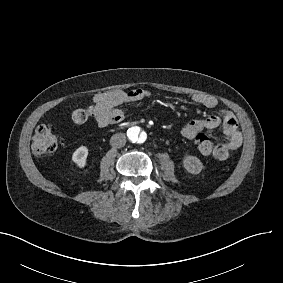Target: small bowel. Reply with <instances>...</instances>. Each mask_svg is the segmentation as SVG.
<instances>
[{
    "label": "small bowel",
    "mask_w": 283,
    "mask_h": 283,
    "mask_svg": "<svg viewBox=\"0 0 283 283\" xmlns=\"http://www.w3.org/2000/svg\"><path fill=\"white\" fill-rule=\"evenodd\" d=\"M151 96V92L144 89H112L99 92L94 95L91 107L94 122L99 127L120 123L127 113L125 109L119 108L120 106H132ZM192 101L210 109L219 105L215 97L201 93L194 94ZM219 126L223 129L224 139L217 142V151L211 156L219 161H225L229 158L231 151L238 149L243 143L237 119L229 109L219 108L217 114L209 115L205 119L192 120L181 129V134L190 139L194 130H213Z\"/></svg>",
    "instance_id": "obj_1"
}]
</instances>
